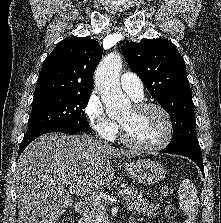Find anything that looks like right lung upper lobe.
<instances>
[{"mask_svg": "<svg viewBox=\"0 0 221 223\" xmlns=\"http://www.w3.org/2000/svg\"><path fill=\"white\" fill-rule=\"evenodd\" d=\"M101 57L102 48L90 37L71 36L59 42L42 66L34 99L91 93Z\"/></svg>", "mask_w": 221, "mask_h": 223, "instance_id": "obj_1", "label": "right lung upper lobe"}]
</instances>
